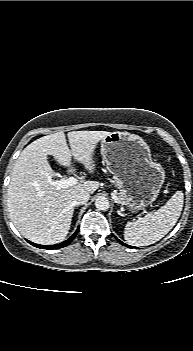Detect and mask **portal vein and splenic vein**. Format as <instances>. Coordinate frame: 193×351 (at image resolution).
Here are the masks:
<instances>
[{"label":"portal vein and splenic vein","mask_w":193,"mask_h":351,"mask_svg":"<svg viewBox=\"0 0 193 351\" xmlns=\"http://www.w3.org/2000/svg\"><path fill=\"white\" fill-rule=\"evenodd\" d=\"M78 183V180L75 177H69L68 179H61V180H56V181H50V184L55 187L56 190H61L64 188H68L71 186H74ZM112 198L116 203H120L117 196L112 193Z\"/></svg>","instance_id":"obj_1"}]
</instances>
